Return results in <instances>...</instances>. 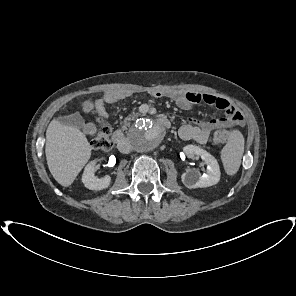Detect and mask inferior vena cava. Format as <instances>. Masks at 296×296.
<instances>
[{
    "label": "inferior vena cava",
    "mask_w": 296,
    "mask_h": 296,
    "mask_svg": "<svg viewBox=\"0 0 296 296\" xmlns=\"http://www.w3.org/2000/svg\"><path fill=\"white\" fill-rule=\"evenodd\" d=\"M119 149L123 153H128L130 151V144L127 141H125V143H123V145L119 146Z\"/></svg>",
    "instance_id": "obj_1"
}]
</instances>
